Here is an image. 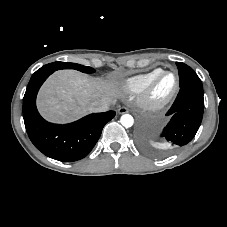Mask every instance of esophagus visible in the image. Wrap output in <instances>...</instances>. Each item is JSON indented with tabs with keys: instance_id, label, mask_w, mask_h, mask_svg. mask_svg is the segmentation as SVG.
I'll return each mask as SVG.
<instances>
[{
	"instance_id": "obj_1",
	"label": "esophagus",
	"mask_w": 227,
	"mask_h": 227,
	"mask_svg": "<svg viewBox=\"0 0 227 227\" xmlns=\"http://www.w3.org/2000/svg\"><path fill=\"white\" fill-rule=\"evenodd\" d=\"M128 111H129L128 108L127 107H123V106L118 109V113L119 114H125Z\"/></svg>"
}]
</instances>
